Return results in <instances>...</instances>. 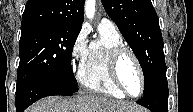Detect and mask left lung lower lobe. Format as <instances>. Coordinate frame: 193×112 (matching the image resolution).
<instances>
[{
	"instance_id": "1",
	"label": "left lung lower lobe",
	"mask_w": 193,
	"mask_h": 112,
	"mask_svg": "<svg viewBox=\"0 0 193 112\" xmlns=\"http://www.w3.org/2000/svg\"><path fill=\"white\" fill-rule=\"evenodd\" d=\"M137 103L148 108L152 112H168L166 68L157 75L153 84Z\"/></svg>"
}]
</instances>
